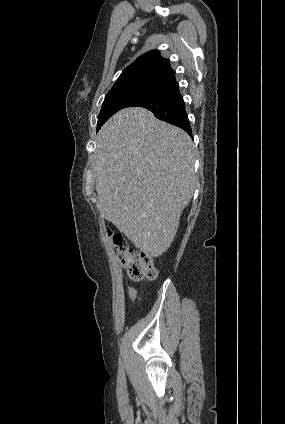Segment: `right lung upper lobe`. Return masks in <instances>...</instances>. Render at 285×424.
I'll list each match as a JSON object with an SVG mask.
<instances>
[{
    "instance_id": "right-lung-upper-lobe-1",
    "label": "right lung upper lobe",
    "mask_w": 285,
    "mask_h": 424,
    "mask_svg": "<svg viewBox=\"0 0 285 424\" xmlns=\"http://www.w3.org/2000/svg\"><path fill=\"white\" fill-rule=\"evenodd\" d=\"M175 80L173 69L167 59L162 58L157 50L146 52L129 65L119 76L112 88L120 86L155 82L167 84Z\"/></svg>"
}]
</instances>
